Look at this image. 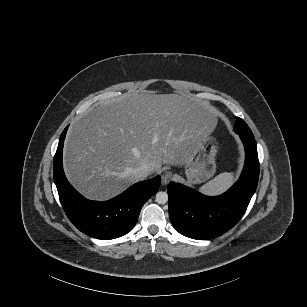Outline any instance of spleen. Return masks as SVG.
I'll return each instance as SVG.
<instances>
[{
    "mask_svg": "<svg viewBox=\"0 0 307 307\" xmlns=\"http://www.w3.org/2000/svg\"><path fill=\"white\" fill-rule=\"evenodd\" d=\"M236 182L234 172H224L209 183L201 186L198 192L206 197H218L226 193Z\"/></svg>",
    "mask_w": 307,
    "mask_h": 307,
    "instance_id": "obj_1",
    "label": "spleen"
}]
</instances>
